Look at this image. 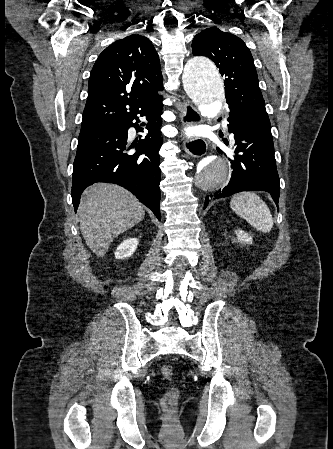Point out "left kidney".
<instances>
[{
  "label": "left kidney",
  "instance_id": "obj_1",
  "mask_svg": "<svg viewBox=\"0 0 333 449\" xmlns=\"http://www.w3.org/2000/svg\"><path fill=\"white\" fill-rule=\"evenodd\" d=\"M238 241L241 244H252V237L243 230L235 231Z\"/></svg>",
  "mask_w": 333,
  "mask_h": 449
}]
</instances>
